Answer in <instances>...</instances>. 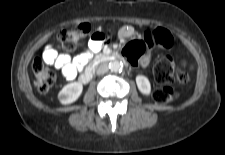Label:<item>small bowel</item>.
Masks as SVG:
<instances>
[{
    "mask_svg": "<svg viewBox=\"0 0 225 155\" xmlns=\"http://www.w3.org/2000/svg\"><path fill=\"white\" fill-rule=\"evenodd\" d=\"M123 37H128L132 34V31L125 29L122 31ZM105 36L102 33H95L92 35L88 42V50L78 54L75 57H70L67 54L59 53L52 44L47 45L42 53V58L45 63L52 65L61 70L63 76L67 79L75 78L78 70L89 61L94 53H97L103 47ZM150 62V55L144 53L140 59V65L147 66Z\"/></svg>",
    "mask_w": 225,
    "mask_h": 155,
    "instance_id": "1",
    "label": "small bowel"
}]
</instances>
